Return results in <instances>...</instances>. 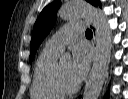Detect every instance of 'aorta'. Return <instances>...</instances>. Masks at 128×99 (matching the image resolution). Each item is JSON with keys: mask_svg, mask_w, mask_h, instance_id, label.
<instances>
[{"mask_svg": "<svg viewBox=\"0 0 128 99\" xmlns=\"http://www.w3.org/2000/svg\"><path fill=\"white\" fill-rule=\"evenodd\" d=\"M63 19H76L88 17L92 20L96 29V56L86 83L83 99H98L111 60L112 33L106 16L96 7L83 0H70L59 11ZM70 53L62 54L61 59H70Z\"/></svg>", "mask_w": 128, "mask_h": 99, "instance_id": "762f6f07", "label": "aorta"}]
</instances>
